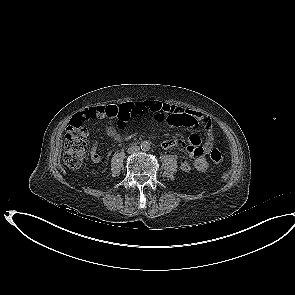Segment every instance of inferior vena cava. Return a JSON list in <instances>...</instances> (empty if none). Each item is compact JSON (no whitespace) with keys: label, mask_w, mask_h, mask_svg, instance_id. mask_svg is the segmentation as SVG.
I'll return each mask as SVG.
<instances>
[{"label":"inferior vena cava","mask_w":295,"mask_h":295,"mask_svg":"<svg viewBox=\"0 0 295 295\" xmlns=\"http://www.w3.org/2000/svg\"><path fill=\"white\" fill-rule=\"evenodd\" d=\"M140 150L139 146H131L128 148V153L131 154V153H136Z\"/></svg>","instance_id":"602c4592"}]
</instances>
